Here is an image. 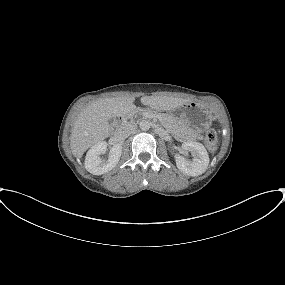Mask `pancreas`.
<instances>
[{"label": "pancreas", "mask_w": 285, "mask_h": 285, "mask_svg": "<svg viewBox=\"0 0 285 285\" xmlns=\"http://www.w3.org/2000/svg\"><path fill=\"white\" fill-rule=\"evenodd\" d=\"M132 113L136 115L140 114L144 117L147 115L155 116L165 123V127L169 132H179L180 131L181 122L174 117L168 116L166 114L155 113L149 110H143V109H136Z\"/></svg>", "instance_id": "obj_1"}]
</instances>
